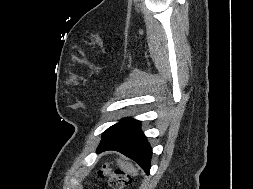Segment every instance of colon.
Returning <instances> with one entry per match:
<instances>
[{
    "label": "colon",
    "instance_id": "colon-1",
    "mask_svg": "<svg viewBox=\"0 0 253 189\" xmlns=\"http://www.w3.org/2000/svg\"><path fill=\"white\" fill-rule=\"evenodd\" d=\"M98 175L108 178L109 185L113 189H122L129 184V178L124 172L111 170L108 166H103L98 171Z\"/></svg>",
    "mask_w": 253,
    "mask_h": 189
}]
</instances>
